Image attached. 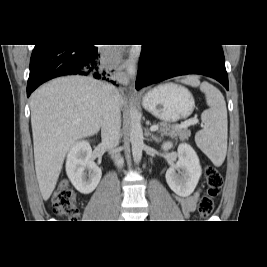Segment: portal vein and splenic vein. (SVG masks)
I'll return each instance as SVG.
<instances>
[{"label": "portal vein and splenic vein", "mask_w": 267, "mask_h": 267, "mask_svg": "<svg viewBox=\"0 0 267 267\" xmlns=\"http://www.w3.org/2000/svg\"><path fill=\"white\" fill-rule=\"evenodd\" d=\"M198 123V119L196 118H192V119H189V120H186L185 122L181 123L180 125H178L179 128H187L191 125H195ZM159 126L158 125H153L150 127V130L151 131H156L158 130Z\"/></svg>", "instance_id": "18ae733b"}]
</instances>
